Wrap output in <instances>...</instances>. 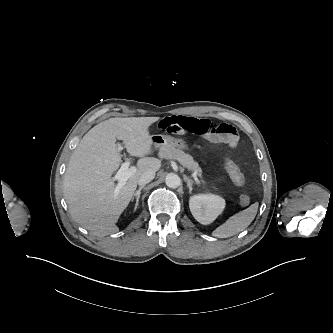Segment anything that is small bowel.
Masks as SVG:
<instances>
[{
	"mask_svg": "<svg viewBox=\"0 0 333 333\" xmlns=\"http://www.w3.org/2000/svg\"><path fill=\"white\" fill-rule=\"evenodd\" d=\"M157 127L173 135L194 134L216 144L234 148L238 143L236 129L227 123L215 124L208 119L172 115L160 119Z\"/></svg>",
	"mask_w": 333,
	"mask_h": 333,
	"instance_id": "1",
	"label": "small bowel"
}]
</instances>
